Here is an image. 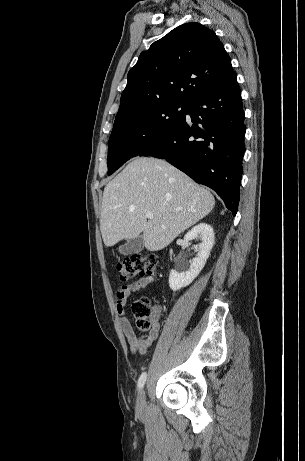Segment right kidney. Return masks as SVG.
Returning <instances> with one entry per match:
<instances>
[{
	"label": "right kidney",
	"instance_id": "right-kidney-1",
	"mask_svg": "<svg viewBox=\"0 0 305 461\" xmlns=\"http://www.w3.org/2000/svg\"><path fill=\"white\" fill-rule=\"evenodd\" d=\"M185 241L200 239L202 242L193 249L198 252L193 258L189 268H184L180 272L171 270L169 274V286L173 291H177L188 286L199 275L204 268L214 245L213 228L206 223H200L193 227L184 237Z\"/></svg>",
	"mask_w": 305,
	"mask_h": 461
}]
</instances>
